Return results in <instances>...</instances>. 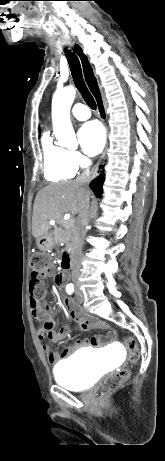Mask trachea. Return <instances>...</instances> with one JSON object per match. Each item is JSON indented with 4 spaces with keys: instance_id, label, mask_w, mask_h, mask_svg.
Returning a JSON list of instances; mask_svg holds the SVG:
<instances>
[{
    "instance_id": "trachea-1",
    "label": "trachea",
    "mask_w": 165,
    "mask_h": 461,
    "mask_svg": "<svg viewBox=\"0 0 165 461\" xmlns=\"http://www.w3.org/2000/svg\"><path fill=\"white\" fill-rule=\"evenodd\" d=\"M66 54H67L68 63L70 66L71 75H72V78H73V81L76 87L81 92L88 106L91 107L92 109H95L96 102L94 98L92 97V95L89 93L84 83L83 76H82V69H81V65H80V61L78 57L74 53H71L70 51H67ZM80 54L84 58V75H85L86 82L90 90L92 91L94 97L96 98L97 102L100 101L102 103V98H101V95H100V92L97 86V81L93 74L92 68L86 56L82 53L81 49H80Z\"/></svg>"
}]
</instances>
